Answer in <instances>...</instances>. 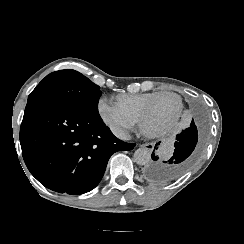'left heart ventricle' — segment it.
Segmentation results:
<instances>
[{"label":"left heart ventricle","instance_id":"obj_1","mask_svg":"<svg viewBox=\"0 0 244 244\" xmlns=\"http://www.w3.org/2000/svg\"><path fill=\"white\" fill-rule=\"evenodd\" d=\"M178 100L171 95H163L161 99L156 100V103L146 113L149 120L154 121L158 116H162L163 120H167L170 115L176 110Z\"/></svg>","mask_w":244,"mask_h":244}]
</instances>
